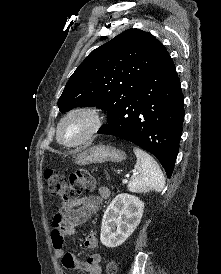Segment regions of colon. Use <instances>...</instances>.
Returning a JSON list of instances; mask_svg holds the SVG:
<instances>
[{
	"mask_svg": "<svg viewBox=\"0 0 221 274\" xmlns=\"http://www.w3.org/2000/svg\"><path fill=\"white\" fill-rule=\"evenodd\" d=\"M45 179L50 194L59 196L64 202H72L76 200L82 192H90L95 187V180L85 172H76L64 176L53 170H47ZM115 273V263L109 262L106 267V274Z\"/></svg>",
	"mask_w": 221,
	"mask_h": 274,
	"instance_id": "colon-1",
	"label": "colon"
}]
</instances>
